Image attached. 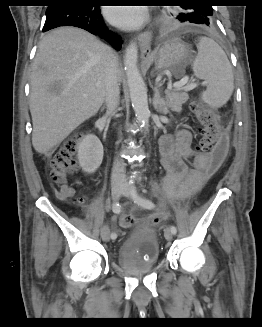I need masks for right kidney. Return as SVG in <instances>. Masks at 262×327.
I'll list each match as a JSON object with an SVG mask.
<instances>
[{
    "instance_id": "right-kidney-1",
    "label": "right kidney",
    "mask_w": 262,
    "mask_h": 327,
    "mask_svg": "<svg viewBox=\"0 0 262 327\" xmlns=\"http://www.w3.org/2000/svg\"><path fill=\"white\" fill-rule=\"evenodd\" d=\"M78 161L86 173H94L103 160V145L95 135H86L77 146Z\"/></svg>"
}]
</instances>
